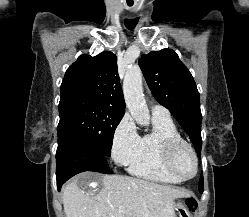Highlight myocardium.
Segmentation results:
<instances>
[{
  "label": "myocardium",
  "mask_w": 249,
  "mask_h": 217,
  "mask_svg": "<svg viewBox=\"0 0 249 217\" xmlns=\"http://www.w3.org/2000/svg\"><path fill=\"white\" fill-rule=\"evenodd\" d=\"M182 152H188L193 159V171L189 175L182 174L177 168V158ZM165 164L167 169L180 180H189L196 176L199 168L198 157L193 147L184 140H169L164 145Z\"/></svg>",
  "instance_id": "1"
}]
</instances>
